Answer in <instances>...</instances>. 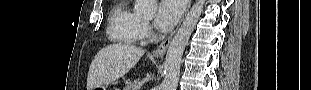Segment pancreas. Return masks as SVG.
<instances>
[{
  "instance_id": "1",
  "label": "pancreas",
  "mask_w": 311,
  "mask_h": 90,
  "mask_svg": "<svg viewBox=\"0 0 311 90\" xmlns=\"http://www.w3.org/2000/svg\"><path fill=\"white\" fill-rule=\"evenodd\" d=\"M139 82L137 80L133 81V82H130L125 90H139Z\"/></svg>"
}]
</instances>
